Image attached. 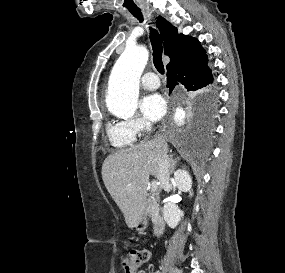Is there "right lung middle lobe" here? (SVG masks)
I'll use <instances>...</instances> for the list:
<instances>
[{
  "instance_id": "obj_1",
  "label": "right lung middle lobe",
  "mask_w": 285,
  "mask_h": 273,
  "mask_svg": "<svg viewBox=\"0 0 285 273\" xmlns=\"http://www.w3.org/2000/svg\"><path fill=\"white\" fill-rule=\"evenodd\" d=\"M207 93H208V90H203V91H200V92H199L198 96L205 95V94H207ZM198 96H197V97H198Z\"/></svg>"
}]
</instances>
